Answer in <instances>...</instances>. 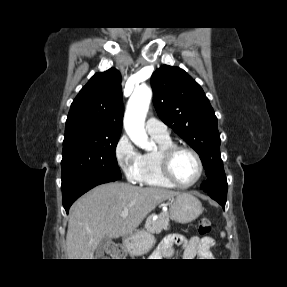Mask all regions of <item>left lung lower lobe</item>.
<instances>
[{
    "label": "left lung lower lobe",
    "instance_id": "obj_1",
    "mask_svg": "<svg viewBox=\"0 0 287 287\" xmlns=\"http://www.w3.org/2000/svg\"><path fill=\"white\" fill-rule=\"evenodd\" d=\"M212 199L216 200L223 208H225L226 199L222 196L208 194Z\"/></svg>",
    "mask_w": 287,
    "mask_h": 287
}]
</instances>
